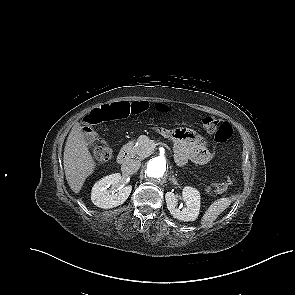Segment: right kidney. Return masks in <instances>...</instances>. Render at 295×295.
Instances as JSON below:
<instances>
[{
  "mask_svg": "<svg viewBox=\"0 0 295 295\" xmlns=\"http://www.w3.org/2000/svg\"><path fill=\"white\" fill-rule=\"evenodd\" d=\"M121 178V174L115 173L96 182L91 193L93 204L103 209H110L123 204L129 197L132 186H119ZM110 186H119L117 193L114 190H109Z\"/></svg>",
  "mask_w": 295,
  "mask_h": 295,
  "instance_id": "right-kidney-1",
  "label": "right kidney"
}]
</instances>
